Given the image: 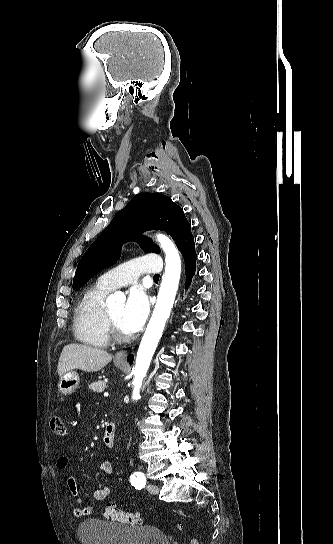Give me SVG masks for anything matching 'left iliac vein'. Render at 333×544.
<instances>
[{
  "mask_svg": "<svg viewBox=\"0 0 333 544\" xmlns=\"http://www.w3.org/2000/svg\"><path fill=\"white\" fill-rule=\"evenodd\" d=\"M147 490L151 494H157L159 492V488L154 484H149L147 486Z\"/></svg>",
  "mask_w": 333,
  "mask_h": 544,
  "instance_id": "left-iliac-vein-1",
  "label": "left iliac vein"
}]
</instances>
